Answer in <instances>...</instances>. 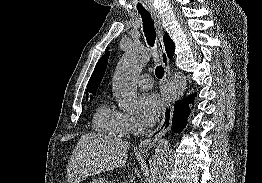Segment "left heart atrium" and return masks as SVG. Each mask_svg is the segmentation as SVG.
Listing matches in <instances>:
<instances>
[{
    "label": "left heart atrium",
    "mask_w": 262,
    "mask_h": 183,
    "mask_svg": "<svg viewBox=\"0 0 262 183\" xmlns=\"http://www.w3.org/2000/svg\"><path fill=\"white\" fill-rule=\"evenodd\" d=\"M162 104L156 93H145L139 98V121L144 126L154 125L161 113Z\"/></svg>",
    "instance_id": "obj_1"
}]
</instances>
